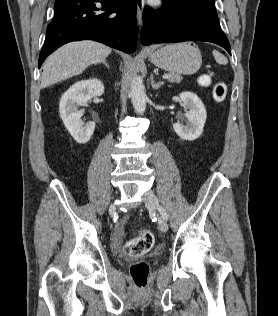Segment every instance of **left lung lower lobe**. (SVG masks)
Returning a JSON list of instances; mask_svg holds the SVG:
<instances>
[{"label":"left lung lower lobe","instance_id":"0a47b994","mask_svg":"<svg viewBox=\"0 0 278 316\" xmlns=\"http://www.w3.org/2000/svg\"><path fill=\"white\" fill-rule=\"evenodd\" d=\"M143 20V45L206 41L222 46L231 55L229 41L219 25L195 15L179 14L166 0H163L162 7L152 14L150 8L145 7Z\"/></svg>","mask_w":278,"mask_h":316}]
</instances>
